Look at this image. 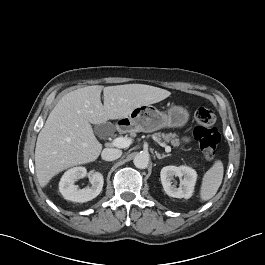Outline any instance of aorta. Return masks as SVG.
I'll return each instance as SVG.
<instances>
[{"mask_svg": "<svg viewBox=\"0 0 265 265\" xmlns=\"http://www.w3.org/2000/svg\"><path fill=\"white\" fill-rule=\"evenodd\" d=\"M133 163L138 169H145L149 164V154L140 152L134 157Z\"/></svg>", "mask_w": 265, "mask_h": 265, "instance_id": "aorta-1", "label": "aorta"}]
</instances>
